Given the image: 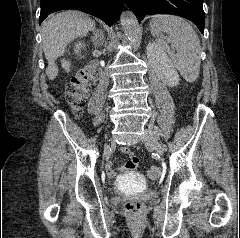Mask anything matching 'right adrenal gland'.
Instances as JSON below:
<instances>
[{
	"instance_id": "2a0ac1e0",
	"label": "right adrenal gland",
	"mask_w": 240,
	"mask_h": 238,
	"mask_svg": "<svg viewBox=\"0 0 240 238\" xmlns=\"http://www.w3.org/2000/svg\"><path fill=\"white\" fill-rule=\"evenodd\" d=\"M94 33H95V36L92 37V42L96 47H98L99 45H101L104 42L105 37H104V34L102 31L99 32L97 30V32H96L94 30Z\"/></svg>"
}]
</instances>
